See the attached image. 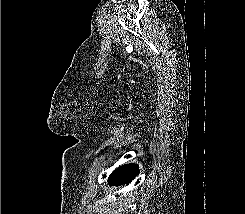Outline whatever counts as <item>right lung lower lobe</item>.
<instances>
[{
    "instance_id": "obj_1",
    "label": "right lung lower lobe",
    "mask_w": 245,
    "mask_h": 214,
    "mask_svg": "<svg viewBox=\"0 0 245 214\" xmlns=\"http://www.w3.org/2000/svg\"><path fill=\"white\" fill-rule=\"evenodd\" d=\"M139 174L137 164H126L117 168L109 177L108 183L120 185L132 181Z\"/></svg>"
}]
</instances>
